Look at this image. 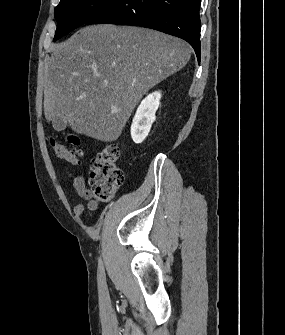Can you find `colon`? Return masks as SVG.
Here are the masks:
<instances>
[{
  "mask_svg": "<svg viewBox=\"0 0 285 335\" xmlns=\"http://www.w3.org/2000/svg\"><path fill=\"white\" fill-rule=\"evenodd\" d=\"M68 142L71 145L70 149L57 143L54 138H50V144L59 158L74 165L80 164L83 156L80 139L76 135H69ZM119 156V148L108 144L92 159L89 182L91 194L95 199L111 200L117 188L122 185L124 175L117 164Z\"/></svg>",
  "mask_w": 285,
  "mask_h": 335,
  "instance_id": "colon-1",
  "label": "colon"
}]
</instances>
